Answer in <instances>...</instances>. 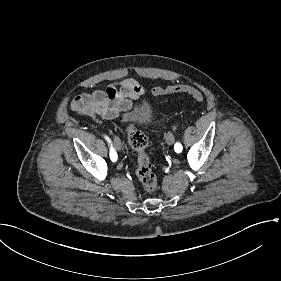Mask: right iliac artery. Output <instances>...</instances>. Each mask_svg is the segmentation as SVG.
<instances>
[{"label":"right iliac artery","mask_w":281,"mask_h":281,"mask_svg":"<svg viewBox=\"0 0 281 281\" xmlns=\"http://www.w3.org/2000/svg\"><path fill=\"white\" fill-rule=\"evenodd\" d=\"M106 139L108 140L109 143H111L110 139L108 137H106ZM110 159L112 161H116L117 160V154L116 152L114 151L113 147H112V144H111V150H110Z\"/></svg>","instance_id":"1"}]
</instances>
